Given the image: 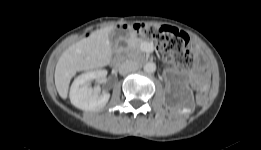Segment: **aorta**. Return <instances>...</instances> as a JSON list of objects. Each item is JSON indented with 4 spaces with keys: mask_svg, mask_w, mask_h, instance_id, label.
Segmentation results:
<instances>
[{
    "mask_svg": "<svg viewBox=\"0 0 261 150\" xmlns=\"http://www.w3.org/2000/svg\"><path fill=\"white\" fill-rule=\"evenodd\" d=\"M156 70V64L154 62H148L144 65V71L146 73H153Z\"/></svg>",
    "mask_w": 261,
    "mask_h": 150,
    "instance_id": "1",
    "label": "aorta"
}]
</instances>
